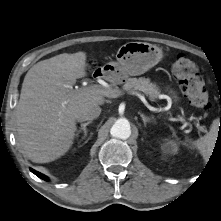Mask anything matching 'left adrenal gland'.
Returning a JSON list of instances; mask_svg holds the SVG:
<instances>
[{
	"label": "left adrenal gland",
	"mask_w": 221,
	"mask_h": 221,
	"mask_svg": "<svg viewBox=\"0 0 221 221\" xmlns=\"http://www.w3.org/2000/svg\"><path fill=\"white\" fill-rule=\"evenodd\" d=\"M139 114H140V116H141V118H142V120H143L145 126H146V124H147L148 122H154V120H152V118L147 117V116H145L144 114H142V113H140V112H139Z\"/></svg>",
	"instance_id": "1"
}]
</instances>
